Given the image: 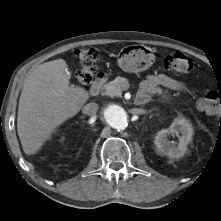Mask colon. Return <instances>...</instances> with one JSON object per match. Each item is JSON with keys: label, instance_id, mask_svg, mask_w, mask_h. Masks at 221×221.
I'll return each instance as SVG.
<instances>
[{"label": "colon", "instance_id": "5ec220e1", "mask_svg": "<svg viewBox=\"0 0 221 221\" xmlns=\"http://www.w3.org/2000/svg\"><path fill=\"white\" fill-rule=\"evenodd\" d=\"M99 52L95 48H82L75 51V57L79 61L80 69L77 72V80L81 84H89L94 76L99 60ZM164 69L177 73H188L192 69V62L183 53L177 52L165 57ZM198 107L208 114L221 112V93L209 91L198 100Z\"/></svg>", "mask_w": 221, "mask_h": 221}]
</instances>
